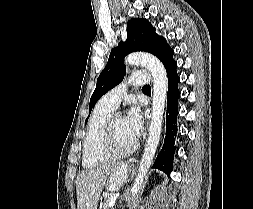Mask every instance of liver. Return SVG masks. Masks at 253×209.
Returning <instances> with one entry per match:
<instances>
[{
	"mask_svg": "<svg viewBox=\"0 0 253 209\" xmlns=\"http://www.w3.org/2000/svg\"><path fill=\"white\" fill-rule=\"evenodd\" d=\"M125 164H106L83 171L76 179L77 209H97L105 185L118 189L127 178Z\"/></svg>",
	"mask_w": 253,
	"mask_h": 209,
	"instance_id": "1",
	"label": "liver"
}]
</instances>
